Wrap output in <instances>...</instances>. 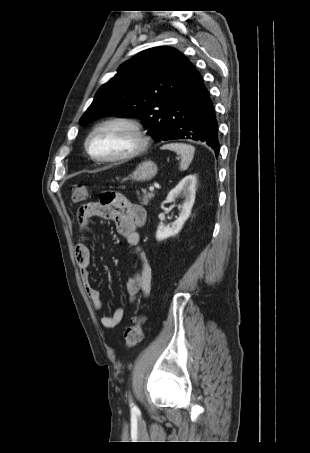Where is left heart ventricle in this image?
<instances>
[{
  "label": "left heart ventricle",
  "instance_id": "obj_1",
  "mask_svg": "<svg viewBox=\"0 0 310 453\" xmlns=\"http://www.w3.org/2000/svg\"><path fill=\"white\" fill-rule=\"evenodd\" d=\"M136 146L132 131L123 125H111L97 132L90 141L92 152L101 157L127 153Z\"/></svg>",
  "mask_w": 310,
  "mask_h": 453
}]
</instances>
